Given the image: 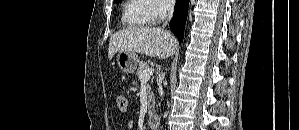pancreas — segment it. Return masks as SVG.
<instances>
[{"label": "pancreas", "mask_w": 299, "mask_h": 130, "mask_svg": "<svg viewBox=\"0 0 299 130\" xmlns=\"http://www.w3.org/2000/svg\"><path fill=\"white\" fill-rule=\"evenodd\" d=\"M149 69V65L146 62H141L139 64V68L136 72L138 80L142 82L141 76L145 70ZM146 90H147V97H148V113L150 114L154 108V96L151 90V86L148 82H146Z\"/></svg>", "instance_id": "1"}]
</instances>
